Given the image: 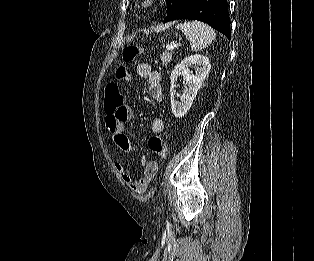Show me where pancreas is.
<instances>
[{"label": "pancreas", "mask_w": 314, "mask_h": 261, "mask_svg": "<svg viewBox=\"0 0 314 261\" xmlns=\"http://www.w3.org/2000/svg\"><path fill=\"white\" fill-rule=\"evenodd\" d=\"M172 59V51L166 49L160 57V61L163 66H167Z\"/></svg>", "instance_id": "obj_1"}]
</instances>
